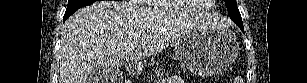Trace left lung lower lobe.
Masks as SVG:
<instances>
[{"label":"left lung lower lobe","instance_id":"left-lung-lower-lobe-1","mask_svg":"<svg viewBox=\"0 0 307 83\" xmlns=\"http://www.w3.org/2000/svg\"><path fill=\"white\" fill-rule=\"evenodd\" d=\"M242 31H244L243 25H238Z\"/></svg>","mask_w":307,"mask_h":83}]
</instances>
